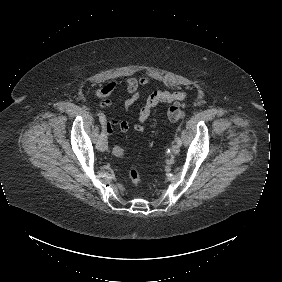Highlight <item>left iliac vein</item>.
<instances>
[{
    "label": "left iliac vein",
    "instance_id": "obj_1",
    "mask_svg": "<svg viewBox=\"0 0 282 282\" xmlns=\"http://www.w3.org/2000/svg\"><path fill=\"white\" fill-rule=\"evenodd\" d=\"M180 152V145L178 143H175L172 147V153L173 155H177Z\"/></svg>",
    "mask_w": 282,
    "mask_h": 282
}]
</instances>
